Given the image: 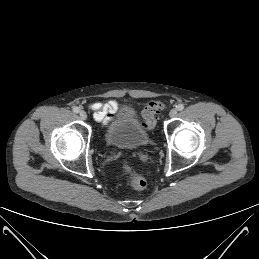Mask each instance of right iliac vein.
<instances>
[{
    "label": "right iliac vein",
    "instance_id": "obj_1",
    "mask_svg": "<svg viewBox=\"0 0 259 259\" xmlns=\"http://www.w3.org/2000/svg\"><path fill=\"white\" fill-rule=\"evenodd\" d=\"M79 116L82 120H86L87 119V114L85 111H80L79 112Z\"/></svg>",
    "mask_w": 259,
    "mask_h": 259
}]
</instances>
